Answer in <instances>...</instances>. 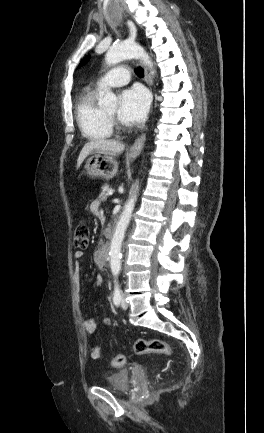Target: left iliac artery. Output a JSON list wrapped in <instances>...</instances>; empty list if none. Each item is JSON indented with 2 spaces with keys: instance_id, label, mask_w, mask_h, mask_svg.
<instances>
[{
  "instance_id": "1",
  "label": "left iliac artery",
  "mask_w": 264,
  "mask_h": 433,
  "mask_svg": "<svg viewBox=\"0 0 264 433\" xmlns=\"http://www.w3.org/2000/svg\"><path fill=\"white\" fill-rule=\"evenodd\" d=\"M120 299H121V290L119 288L118 282H116L115 288H114V296H113V302L116 306L119 305Z\"/></svg>"
}]
</instances>
